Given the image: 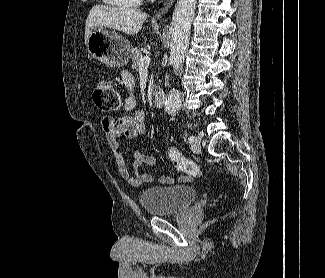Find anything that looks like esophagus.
Listing matches in <instances>:
<instances>
[{
	"label": "esophagus",
	"mask_w": 325,
	"mask_h": 278,
	"mask_svg": "<svg viewBox=\"0 0 325 278\" xmlns=\"http://www.w3.org/2000/svg\"><path fill=\"white\" fill-rule=\"evenodd\" d=\"M174 1L175 0H166L165 3H164V9L170 8L173 5ZM162 16H163V12L162 11L161 12H158L156 14V18L157 19H161Z\"/></svg>",
	"instance_id": "obj_1"
}]
</instances>
